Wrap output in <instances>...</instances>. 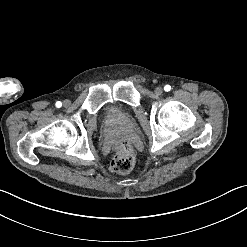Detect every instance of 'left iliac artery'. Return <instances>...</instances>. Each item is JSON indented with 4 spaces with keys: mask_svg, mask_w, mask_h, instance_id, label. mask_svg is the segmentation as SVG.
Segmentation results:
<instances>
[{
    "mask_svg": "<svg viewBox=\"0 0 247 247\" xmlns=\"http://www.w3.org/2000/svg\"><path fill=\"white\" fill-rule=\"evenodd\" d=\"M164 90L167 91V92L170 91V90H171V86H170V85H166V86L164 87Z\"/></svg>",
    "mask_w": 247,
    "mask_h": 247,
    "instance_id": "44dca946",
    "label": "left iliac artery"
}]
</instances>
